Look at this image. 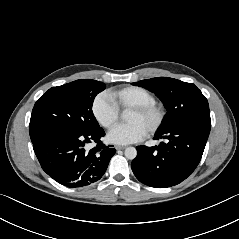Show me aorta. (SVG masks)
Masks as SVG:
<instances>
[{
  "instance_id": "obj_1",
  "label": "aorta",
  "mask_w": 239,
  "mask_h": 239,
  "mask_svg": "<svg viewBox=\"0 0 239 239\" xmlns=\"http://www.w3.org/2000/svg\"><path fill=\"white\" fill-rule=\"evenodd\" d=\"M124 154L127 159L133 160L137 156V150L134 147H127Z\"/></svg>"
}]
</instances>
